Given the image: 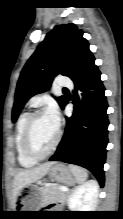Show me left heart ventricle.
<instances>
[{
	"label": "left heart ventricle",
	"instance_id": "left-heart-ventricle-1",
	"mask_svg": "<svg viewBox=\"0 0 123 219\" xmlns=\"http://www.w3.org/2000/svg\"><path fill=\"white\" fill-rule=\"evenodd\" d=\"M57 134V124L53 119L44 113L39 115L31 129V144L33 149L38 153L47 151L52 145Z\"/></svg>",
	"mask_w": 123,
	"mask_h": 219
}]
</instances>
